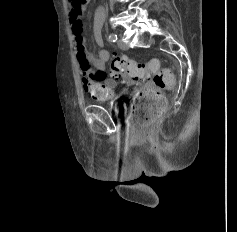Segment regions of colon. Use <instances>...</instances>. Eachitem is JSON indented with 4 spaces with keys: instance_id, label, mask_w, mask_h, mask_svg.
<instances>
[{
    "instance_id": "colon-1",
    "label": "colon",
    "mask_w": 237,
    "mask_h": 232,
    "mask_svg": "<svg viewBox=\"0 0 237 232\" xmlns=\"http://www.w3.org/2000/svg\"><path fill=\"white\" fill-rule=\"evenodd\" d=\"M88 1L69 0L76 9H81ZM110 73L118 79L129 77L144 83L134 97L132 119L138 129L149 133L164 111L162 90L173 86V74L167 69H161L157 59L141 63L126 56H114Z\"/></svg>"
}]
</instances>
